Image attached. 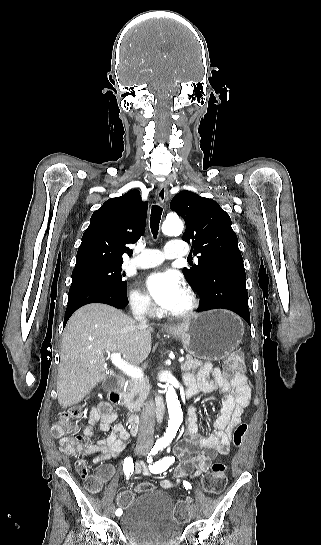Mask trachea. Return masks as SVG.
Segmentation results:
<instances>
[{
  "instance_id": "obj_1",
  "label": "trachea",
  "mask_w": 321,
  "mask_h": 545,
  "mask_svg": "<svg viewBox=\"0 0 321 545\" xmlns=\"http://www.w3.org/2000/svg\"><path fill=\"white\" fill-rule=\"evenodd\" d=\"M162 216V208L159 205H152L150 215V228L154 238H157L160 220Z\"/></svg>"
}]
</instances>
